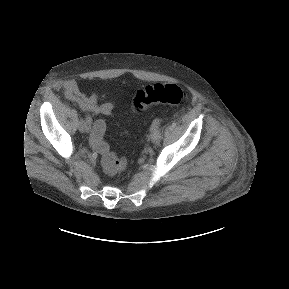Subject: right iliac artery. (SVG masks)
I'll return each mask as SVG.
<instances>
[{"instance_id": "82829eb1", "label": "right iliac artery", "mask_w": 289, "mask_h": 289, "mask_svg": "<svg viewBox=\"0 0 289 289\" xmlns=\"http://www.w3.org/2000/svg\"><path fill=\"white\" fill-rule=\"evenodd\" d=\"M91 120H92V119H91V117H90V116H87V117H86V121H87L88 123H90V122H91Z\"/></svg>"}]
</instances>
